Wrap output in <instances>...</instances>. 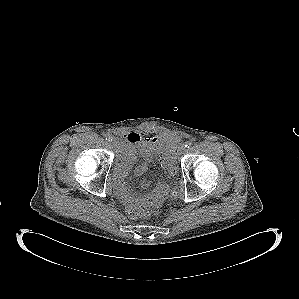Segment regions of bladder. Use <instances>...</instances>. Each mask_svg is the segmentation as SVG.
<instances>
[{
    "mask_svg": "<svg viewBox=\"0 0 299 299\" xmlns=\"http://www.w3.org/2000/svg\"><path fill=\"white\" fill-rule=\"evenodd\" d=\"M174 148L175 146L171 149V153L174 155Z\"/></svg>",
    "mask_w": 299,
    "mask_h": 299,
    "instance_id": "bladder-1",
    "label": "bladder"
}]
</instances>
